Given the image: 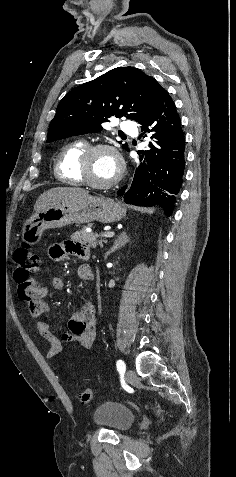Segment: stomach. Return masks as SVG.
<instances>
[{
	"label": "stomach",
	"instance_id": "obj_1",
	"mask_svg": "<svg viewBox=\"0 0 236 477\" xmlns=\"http://www.w3.org/2000/svg\"><path fill=\"white\" fill-rule=\"evenodd\" d=\"M126 209L120 202L105 197L86 195L51 204L36 212L23 223L22 240L37 244L46 229L61 228L70 224H86L92 221L112 223L120 221Z\"/></svg>",
	"mask_w": 236,
	"mask_h": 477
}]
</instances>
